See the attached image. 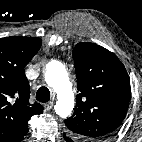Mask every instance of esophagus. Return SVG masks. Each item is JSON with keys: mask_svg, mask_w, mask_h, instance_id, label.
Instances as JSON below:
<instances>
[{"mask_svg": "<svg viewBox=\"0 0 142 142\" xmlns=\"http://www.w3.org/2000/svg\"><path fill=\"white\" fill-rule=\"evenodd\" d=\"M53 105H54V103L52 101H50L44 105V108H45V110L49 111L52 109Z\"/></svg>", "mask_w": 142, "mask_h": 142, "instance_id": "34e87169", "label": "esophagus"}]
</instances>
